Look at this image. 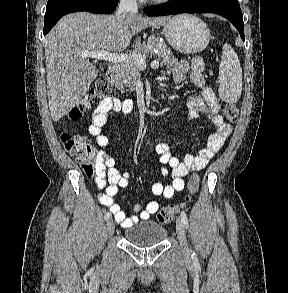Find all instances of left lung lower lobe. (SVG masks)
Here are the masks:
<instances>
[{
  "label": "left lung lower lobe",
  "mask_w": 288,
  "mask_h": 293,
  "mask_svg": "<svg viewBox=\"0 0 288 293\" xmlns=\"http://www.w3.org/2000/svg\"><path fill=\"white\" fill-rule=\"evenodd\" d=\"M149 16L179 13H214L228 19L244 37L243 15L238 0H170L164 4L144 8Z\"/></svg>",
  "instance_id": "0a47b994"
}]
</instances>
